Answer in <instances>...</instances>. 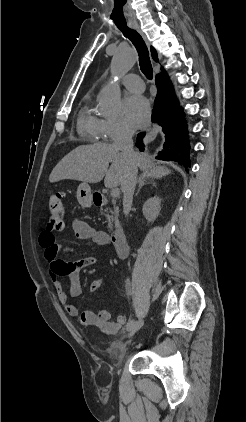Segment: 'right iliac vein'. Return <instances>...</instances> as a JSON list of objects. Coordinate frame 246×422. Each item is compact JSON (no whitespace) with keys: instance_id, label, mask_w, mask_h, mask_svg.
Here are the masks:
<instances>
[{"instance_id":"63e3f726","label":"right iliac vein","mask_w":246,"mask_h":422,"mask_svg":"<svg viewBox=\"0 0 246 422\" xmlns=\"http://www.w3.org/2000/svg\"><path fill=\"white\" fill-rule=\"evenodd\" d=\"M143 325V320L139 319L138 321L135 322V324L133 325V327L131 328V333H130V337L134 336V334L139 331V329L142 327Z\"/></svg>"}]
</instances>
